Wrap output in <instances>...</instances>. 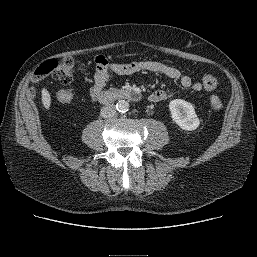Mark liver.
I'll use <instances>...</instances> for the list:
<instances>
[{"instance_id":"obj_1","label":"liver","mask_w":257,"mask_h":257,"mask_svg":"<svg viewBox=\"0 0 257 257\" xmlns=\"http://www.w3.org/2000/svg\"><path fill=\"white\" fill-rule=\"evenodd\" d=\"M42 103L45 109L49 110L51 105V96L47 89H42Z\"/></svg>"}]
</instances>
